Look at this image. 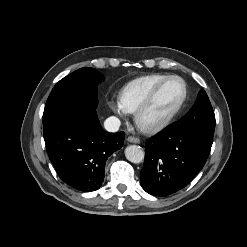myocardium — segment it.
I'll use <instances>...</instances> for the list:
<instances>
[{
	"label": "myocardium",
	"instance_id": "f54148a6",
	"mask_svg": "<svg viewBox=\"0 0 247 247\" xmlns=\"http://www.w3.org/2000/svg\"><path fill=\"white\" fill-rule=\"evenodd\" d=\"M179 80L184 87V93L183 96L178 103V105L175 107V109L169 113L166 117H164L161 120H158L156 122L147 123L144 121V115L147 112V110L150 108L152 103L154 102L157 94L162 89V87L171 80ZM188 97V86L186 81L177 75H170L163 79L161 82H159L149 93V95L146 97V99L142 102V104L138 107V109L135 112V122L136 125L140 130H142L145 133H157L163 129H165L167 126H169L172 121L178 116L180 111L182 110L186 100Z\"/></svg>",
	"mask_w": 247,
	"mask_h": 247
}]
</instances>
